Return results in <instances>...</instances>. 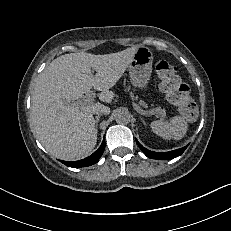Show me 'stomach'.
<instances>
[{
	"label": "stomach",
	"instance_id": "obj_1",
	"mask_svg": "<svg viewBox=\"0 0 231 231\" xmlns=\"http://www.w3.org/2000/svg\"><path fill=\"white\" fill-rule=\"evenodd\" d=\"M153 63L152 51L144 46L138 47L129 64L130 81L134 87L146 89L151 78Z\"/></svg>",
	"mask_w": 231,
	"mask_h": 231
}]
</instances>
